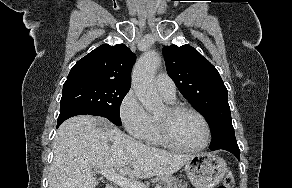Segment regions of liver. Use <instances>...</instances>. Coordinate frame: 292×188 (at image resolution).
Here are the masks:
<instances>
[{
    "label": "liver",
    "mask_w": 292,
    "mask_h": 188,
    "mask_svg": "<svg viewBox=\"0 0 292 188\" xmlns=\"http://www.w3.org/2000/svg\"><path fill=\"white\" fill-rule=\"evenodd\" d=\"M53 145L49 188H95L97 169H115L137 179L170 175L193 157L144 145L108 120L89 115L66 120Z\"/></svg>",
    "instance_id": "1"
}]
</instances>
